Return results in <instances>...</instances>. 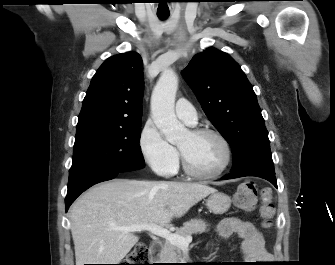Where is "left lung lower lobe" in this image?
<instances>
[{
  "label": "left lung lower lobe",
  "instance_id": "left-lung-lower-lobe-1",
  "mask_svg": "<svg viewBox=\"0 0 335 265\" xmlns=\"http://www.w3.org/2000/svg\"><path fill=\"white\" fill-rule=\"evenodd\" d=\"M244 176L261 177V178H264V179L270 181L275 187H277V181H276L275 174H270V173L263 172V171H260V170H249V171H245V172H241V173L231 172L230 175L224 177V179H233V178H239V177H244Z\"/></svg>",
  "mask_w": 335,
  "mask_h": 265
}]
</instances>
